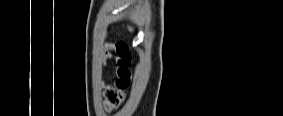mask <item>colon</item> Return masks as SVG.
<instances>
[{"label": "colon", "mask_w": 283, "mask_h": 116, "mask_svg": "<svg viewBox=\"0 0 283 116\" xmlns=\"http://www.w3.org/2000/svg\"><path fill=\"white\" fill-rule=\"evenodd\" d=\"M130 75L118 77V79L108 87L106 91L104 107L107 111L116 109L124 101V90L129 86Z\"/></svg>", "instance_id": "5ec220e1"}]
</instances>
